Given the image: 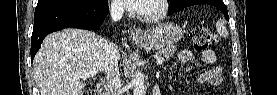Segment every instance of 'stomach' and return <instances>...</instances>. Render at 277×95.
Segmentation results:
<instances>
[{
    "instance_id": "0dacf381",
    "label": "stomach",
    "mask_w": 277,
    "mask_h": 95,
    "mask_svg": "<svg viewBox=\"0 0 277 95\" xmlns=\"http://www.w3.org/2000/svg\"><path fill=\"white\" fill-rule=\"evenodd\" d=\"M182 36L183 29L180 26L162 23L145 31L143 37L135 39V42L146 50H160L173 46Z\"/></svg>"
}]
</instances>
